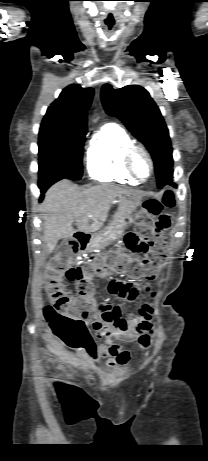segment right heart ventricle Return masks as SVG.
<instances>
[{
	"instance_id": "right-heart-ventricle-1",
	"label": "right heart ventricle",
	"mask_w": 208,
	"mask_h": 461,
	"mask_svg": "<svg viewBox=\"0 0 208 461\" xmlns=\"http://www.w3.org/2000/svg\"><path fill=\"white\" fill-rule=\"evenodd\" d=\"M132 144V139L120 126H103L87 152L89 175L101 182H135L124 164L125 152Z\"/></svg>"
}]
</instances>
